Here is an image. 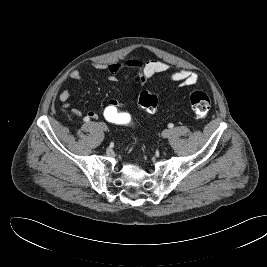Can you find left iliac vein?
Wrapping results in <instances>:
<instances>
[{
	"label": "left iliac vein",
	"mask_w": 267,
	"mask_h": 267,
	"mask_svg": "<svg viewBox=\"0 0 267 267\" xmlns=\"http://www.w3.org/2000/svg\"><path fill=\"white\" fill-rule=\"evenodd\" d=\"M171 130L170 129H165L163 132H162V136L164 137V138H168V137H170L171 136Z\"/></svg>",
	"instance_id": "left-iliac-vein-1"
}]
</instances>
